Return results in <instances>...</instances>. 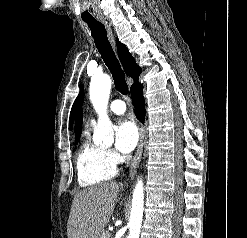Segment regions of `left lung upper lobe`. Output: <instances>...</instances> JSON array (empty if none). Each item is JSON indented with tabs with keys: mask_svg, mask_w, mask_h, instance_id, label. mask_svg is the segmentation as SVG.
I'll return each mask as SVG.
<instances>
[{
	"mask_svg": "<svg viewBox=\"0 0 247 238\" xmlns=\"http://www.w3.org/2000/svg\"><path fill=\"white\" fill-rule=\"evenodd\" d=\"M83 103V86L81 87L80 93L78 95V97L76 98L72 109H71V113H70V129L72 128V124L75 118L76 113L78 112L79 108L82 106Z\"/></svg>",
	"mask_w": 247,
	"mask_h": 238,
	"instance_id": "5c2ea615",
	"label": "left lung upper lobe"
}]
</instances>
